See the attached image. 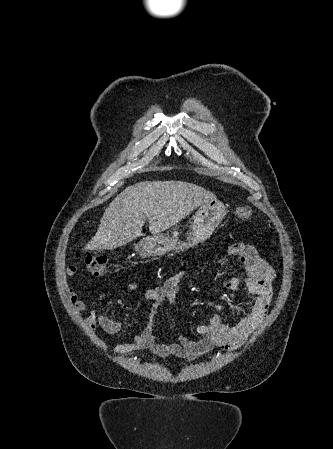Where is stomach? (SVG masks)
I'll list each match as a JSON object with an SVG mask.
<instances>
[{
  "instance_id": "obj_1",
  "label": "stomach",
  "mask_w": 333,
  "mask_h": 449,
  "mask_svg": "<svg viewBox=\"0 0 333 449\" xmlns=\"http://www.w3.org/2000/svg\"><path fill=\"white\" fill-rule=\"evenodd\" d=\"M226 213V208L222 202L217 200L206 201L193 216L187 241L179 242L169 234H157L137 243L135 250L144 257L186 250L209 238L222 222Z\"/></svg>"
}]
</instances>
